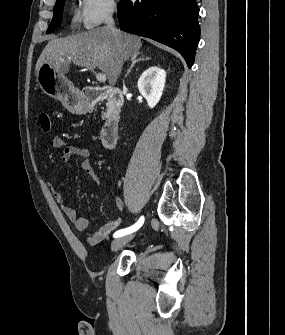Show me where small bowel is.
Returning <instances> with one entry per match:
<instances>
[{
	"mask_svg": "<svg viewBox=\"0 0 285 335\" xmlns=\"http://www.w3.org/2000/svg\"><path fill=\"white\" fill-rule=\"evenodd\" d=\"M50 146L54 151L51 155L53 160L55 159V152L62 149L61 160L63 162H69L74 157L80 158L81 169L86 172L95 183L97 182V174L89 159L90 152L87 147L68 145L66 141L59 136H56L51 140ZM50 189L55 200L62 208L65 216L71 222L72 226L78 231H84L87 227V220L84 217L79 216L76 211L68 205L66 197L62 192L56 190V188L52 185L50 186ZM116 205L120 211L124 210V204L120 198H116ZM120 224V219L104 223L96 231L87 233V242L94 245L107 239Z\"/></svg>",
	"mask_w": 285,
	"mask_h": 335,
	"instance_id": "obj_1",
	"label": "small bowel"
}]
</instances>
